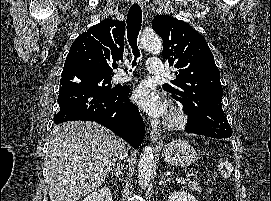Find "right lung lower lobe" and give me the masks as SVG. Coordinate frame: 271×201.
Instances as JSON below:
<instances>
[{"instance_id": "right-lung-lower-lobe-1", "label": "right lung lower lobe", "mask_w": 271, "mask_h": 201, "mask_svg": "<svg viewBox=\"0 0 271 201\" xmlns=\"http://www.w3.org/2000/svg\"><path fill=\"white\" fill-rule=\"evenodd\" d=\"M129 92L127 86L104 91L67 81L60 85L57 99L60 111L54 116V123L95 121L137 148L143 140L145 127L138 108L128 100Z\"/></svg>"}]
</instances>
